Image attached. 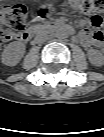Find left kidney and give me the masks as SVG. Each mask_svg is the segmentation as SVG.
<instances>
[{"label": "left kidney", "instance_id": "5707ae66", "mask_svg": "<svg viewBox=\"0 0 104 137\" xmlns=\"http://www.w3.org/2000/svg\"><path fill=\"white\" fill-rule=\"evenodd\" d=\"M89 60H90L91 63H93L97 66H100L103 63V57L99 56V55H96L94 52H91L89 54Z\"/></svg>", "mask_w": 104, "mask_h": 137}]
</instances>
